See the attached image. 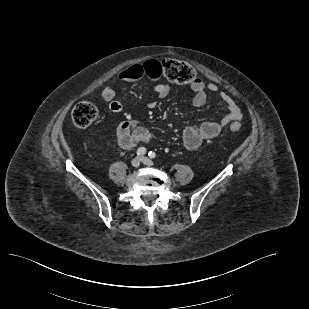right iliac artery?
I'll return each instance as SVG.
<instances>
[{
  "mask_svg": "<svg viewBox=\"0 0 309 309\" xmlns=\"http://www.w3.org/2000/svg\"><path fill=\"white\" fill-rule=\"evenodd\" d=\"M146 152H147V150H146L145 147H139V148L137 149V155H139V156L145 155Z\"/></svg>",
  "mask_w": 309,
  "mask_h": 309,
  "instance_id": "obj_1",
  "label": "right iliac artery"
}]
</instances>
